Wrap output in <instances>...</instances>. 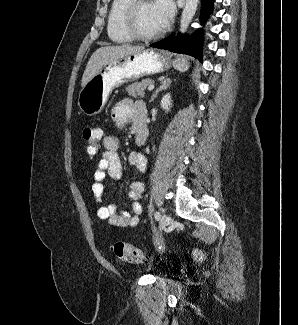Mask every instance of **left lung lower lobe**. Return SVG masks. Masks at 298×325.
<instances>
[{"label": "left lung lower lobe", "instance_id": "1", "mask_svg": "<svg viewBox=\"0 0 298 325\" xmlns=\"http://www.w3.org/2000/svg\"><path fill=\"white\" fill-rule=\"evenodd\" d=\"M214 0H202L200 18L202 21L206 20L208 15L213 10ZM202 43L203 32L202 30H196L190 37L178 35L177 37L173 33L172 35L151 44V47L170 50L176 53L188 54L198 58L202 61Z\"/></svg>", "mask_w": 298, "mask_h": 325}]
</instances>
